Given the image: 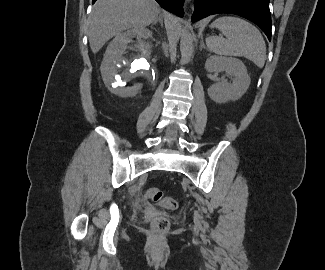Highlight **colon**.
<instances>
[{
	"mask_svg": "<svg viewBox=\"0 0 325 270\" xmlns=\"http://www.w3.org/2000/svg\"><path fill=\"white\" fill-rule=\"evenodd\" d=\"M145 197L147 199L153 200L168 210L177 209V201L171 197L164 196L163 193L155 187L148 188L145 191ZM152 229L156 232H166L169 229L170 223L169 220L165 217H156L152 220L151 223Z\"/></svg>",
	"mask_w": 325,
	"mask_h": 270,
	"instance_id": "1",
	"label": "colon"
}]
</instances>
